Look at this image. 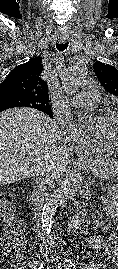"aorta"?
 Wrapping results in <instances>:
<instances>
[{"mask_svg": "<svg viewBox=\"0 0 118 269\" xmlns=\"http://www.w3.org/2000/svg\"><path fill=\"white\" fill-rule=\"evenodd\" d=\"M86 77V65L83 61H77L71 65L62 77L63 87L68 93H75ZM81 177L78 173H72L54 190L46 200L41 217L42 230L48 239H52V218L58 205L74 196L81 188Z\"/></svg>", "mask_w": 118, "mask_h": 269, "instance_id": "obj_1", "label": "aorta"}]
</instances>
